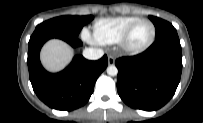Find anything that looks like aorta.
I'll return each instance as SVG.
<instances>
[{"label":"aorta","mask_w":203,"mask_h":123,"mask_svg":"<svg viewBox=\"0 0 203 123\" xmlns=\"http://www.w3.org/2000/svg\"><path fill=\"white\" fill-rule=\"evenodd\" d=\"M118 73V69L115 65H110L107 67V74L110 76H116Z\"/></svg>","instance_id":"1"}]
</instances>
